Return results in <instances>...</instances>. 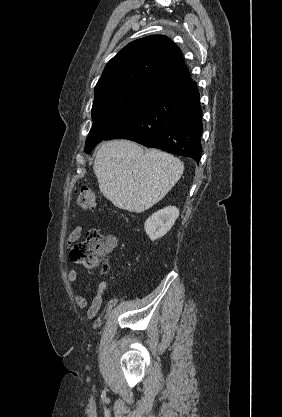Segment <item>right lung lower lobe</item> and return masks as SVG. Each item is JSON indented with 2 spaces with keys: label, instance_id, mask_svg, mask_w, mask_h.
<instances>
[{
  "label": "right lung lower lobe",
  "instance_id": "obj_1",
  "mask_svg": "<svg viewBox=\"0 0 282 417\" xmlns=\"http://www.w3.org/2000/svg\"><path fill=\"white\" fill-rule=\"evenodd\" d=\"M202 110L196 83L189 77L160 90L156 96L103 140L124 138L146 147L201 157Z\"/></svg>",
  "mask_w": 282,
  "mask_h": 417
}]
</instances>
